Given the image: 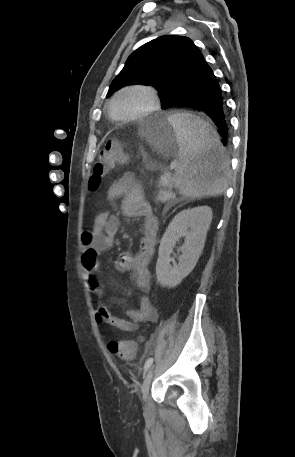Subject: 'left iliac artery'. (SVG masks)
Wrapping results in <instances>:
<instances>
[{"instance_id": "obj_1", "label": "left iliac artery", "mask_w": 295, "mask_h": 457, "mask_svg": "<svg viewBox=\"0 0 295 457\" xmlns=\"http://www.w3.org/2000/svg\"><path fill=\"white\" fill-rule=\"evenodd\" d=\"M152 363H153V358H152V357H150V358H148V359L146 360V362H145V364H144V372H146V371L150 368V366L152 365Z\"/></svg>"}]
</instances>
